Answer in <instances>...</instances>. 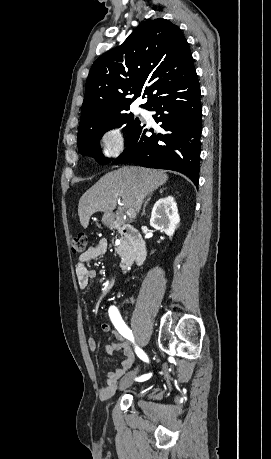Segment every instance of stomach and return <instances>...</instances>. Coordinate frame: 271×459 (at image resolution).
Wrapping results in <instances>:
<instances>
[{
  "instance_id": "1",
  "label": "stomach",
  "mask_w": 271,
  "mask_h": 459,
  "mask_svg": "<svg viewBox=\"0 0 271 459\" xmlns=\"http://www.w3.org/2000/svg\"><path fill=\"white\" fill-rule=\"evenodd\" d=\"M112 220H113V214H105V216H103L102 222H104V224H110Z\"/></svg>"
}]
</instances>
